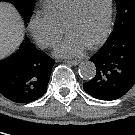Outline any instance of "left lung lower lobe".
I'll use <instances>...</instances> for the list:
<instances>
[{
  "label": "left lung lower lobe",
  "instance_id": "0a47b994",
  "mask_svg": "<svg viewBox=\"0 0 135 135\" xmlns=\"http://www.w3.org/2000/svg\"><path fill=\"white\" fill-rule=\"evenodd\" d=\"M96 66L95 77L83 89L100 100H116L135 84V25L121 36L108 39L90 59Z\"/></svg>",
  "mask_w": 135,
  "mask_h": 135
}]
</instances>
